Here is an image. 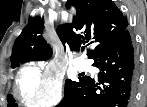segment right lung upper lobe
<instances>
[{
	"instance_id": "cb5924a9",
	"label": "right lung upper lobe",
	"mask_w": 147,
	"mask_h": 107,
	"mask_svg": "<svg viewBox=\"0 0 147 107\" xmlns=\"http://www.w3.org/2000/svg\"><path fill=\"white\" fill-rule=\"evenodd\" d=\"M70 5L76 8V17L72 23L62 24L57 28L62 44L70 51L91 41L89 45L92 47L87 55L94 59L116 42L127 29V19L112 0H68L66 6ZM43 29V19L29 20L14 43L10 58L12 66L30 59L42 61L51 58V46L41 35Z\"/></svg>"
}]
</instances>
